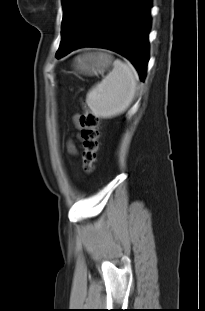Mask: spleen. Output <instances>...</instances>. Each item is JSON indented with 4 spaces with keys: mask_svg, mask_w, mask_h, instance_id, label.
Listing matches in <instances>:
<instances>
[{
    "mask_svg": "<svg viewBox=\"0 0 205 311\" xmlns=\"http://www.w3.org/2000/svg\"><path fill=\"white\" fill-rule=\"evenodd\" d=\"M138 74L129 62L116 59L113 69L86 95L94 115L111 118L124 113L132 104L138 86Z\"/></svg>",
    "mask_w": 205,
    "mask_h": 311,
    "instance_id": "spleen-1",
    "label": "spleen"
}]
</instances>
